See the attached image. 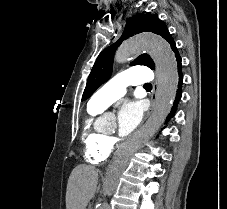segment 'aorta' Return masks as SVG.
<instances>
[{
	"label": "aorta",
	"mask_w": 227,
	"mask_h": 209,
	"mask_svg": "<svg viewBox=\"0 0 227 209\" xmlns=\"http://www.w3.org/2000/svg\"><path fill=\"white\" fill-rule=\"evenodd\" d=\"M143 51L150 54L157 68L159 83L157 106L139 137L133 142L123 145L110 163L103 185V191L107 197L112 196L115 192L120 177L136 150L144 141L151 138L163 124L171 111L176 95L178 73L175 55L170 45L161 37L153 34H142L127 40L117 50L115 61L123 64L129 58ZM109 208L110 205L107 202H103L99 206V209Z\"/></svg>",
	"instance_id": "762f6f07"
}]
</instances>
